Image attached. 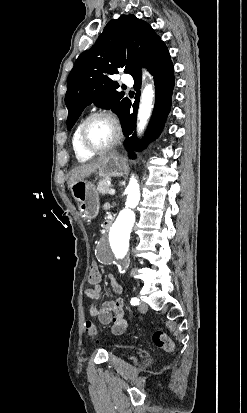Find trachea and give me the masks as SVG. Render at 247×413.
<instances>
[{"mask_svg":"<svg viewBox=\"0 0 247 413\" xmlns=\"http://www.w3.org/2000/svg\"><path fill=\"white\" fill-rule=\"evenodd\" d=\"M122 88L125 90V89H126V85H123Z\"/></svg>","mask_w":247,"mask_h":413,"instance_id":"3493384b","label":"trachea"}]
</instances>
